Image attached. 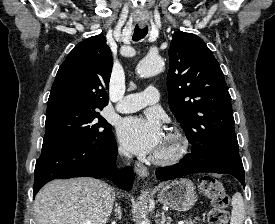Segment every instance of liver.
Masks as SVG:
<instances>
[{
	"mask_svg": "<svg viewBox=\"0 0 275 224\" xmlns=\"http://www.w3.org/2000/svg\"><path fill=\"white\" fill-rule=\"evenodd\" d=\"M115 199L114 189L93 178L57 179L36 195L38 224H106Z\"/></svg>",
	"mask_w": 275,
	"mask_h": 224,
	"instance_id": "obj_1",
	"label": "liver"
}]
</instances>
